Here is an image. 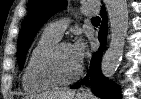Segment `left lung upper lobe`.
Wrapping results in <instances>:
<instances>
[{
	"instance_id": "obj_1",
	"label": "left lung upper lobe",
	"mask_w": 141,
	"mask_h": 99,
	"mask_svg": "<svg viewBox=\"0 0 141 99\" xmlns=\"http://www.w3.org/2000/svg\"><path fill=\"white\" fill-rule=\"evenodd\" d=\"M65 4V0H29L28 15L22 23L18 38L17 55L20 69L24 66L25 55L37 31L48 18L63 8Z\"/></svg>"
}]
</instances>
